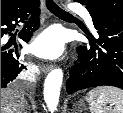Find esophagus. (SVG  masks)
Wrapping results in <instances>:
<instances>
[{
    "instance_id": "1",
    "label": "esophagus",
    "mask_w": 123,
    "mask_h": 113,
    "mask_svg": "<svg viewBox=\"0 0 123 113\" xmlns=\"http://www.w3.org/2000/svg\"><path fill=\"white\" fill-rule=\"evenodd\" d=\"M53 69V65L49 64V65H42L41 66V71L43 73H48L49 71H51Z\"/></svg>"
}]
</instances>
